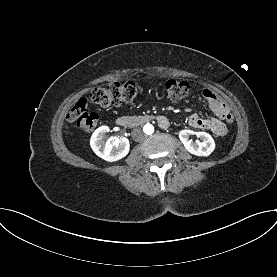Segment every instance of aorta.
<instances>
[{"mask_svg": "<svg viewBox=\"0 0 277 277\" xmlns=\"http://www.w3.org/2000/svg\"><path fill=\"white\" fill-rule=\"evenodd\" d=\"M143 131L145 134L151 135L154 132V126L148 123L144 126Z\"/></svg>", "mask_w": 277, "mask_h": 277, "instance_id": "762f6f07", "label": "aorta"}]
</instances>
